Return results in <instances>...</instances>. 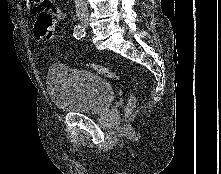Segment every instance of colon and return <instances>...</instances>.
I'll use <instances>...</instances> for the list:
<instances>
[{"label": "colon", "instance_id": "1", "mask_svg": "<svg viewBox=\"0 0 221 174\" xmlns=\"http://www.w3.org/2000/svg\"><path fill=\"white\" fill-rule=\"evenodd\" d=\"M35 35L41 40H54L56 38L54 32V21L53 17L50 14L40 15L34 26ZM86 67L98 74H101L107 78L119 80L120 77L114 71L110 70L107 67L97 65V64H86ZM135 106V98L133 94L130 93L127 105V111H131Z\"/></svg>", "mask_w": 221, "mask_h": 174}]
</instances>
